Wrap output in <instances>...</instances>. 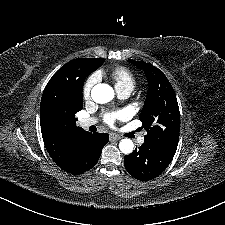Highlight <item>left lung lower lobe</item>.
Returning a JSON list of instances; mask_svg holds the SVG:
<instances>
[{
    "instance_id": "left-lung-lower-lobe-1",
    "label": "left lung lower lobe",
    "mask_w": 225,
    "mask_h": 225,
    "mask_svg": "<svg viewBox=\"0 0 225 225\" xmlns=\"http://www.w3.org/2000/svg\"><path fill=\"white\" fill-rule=\"evenodd\" d=\"M175 152V148L145 142L124 157L125 168L134 178L140 181L152 180L167 168Z\"/></svg>"
}]
</instances>
